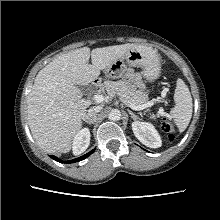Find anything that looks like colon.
Listing matches in <instances>:
<instances>
[{"mask_svg": "<svg viewBox=\"0 0 220 220\" xmlns=\"http://www.w3.org/2000/svg\"><path fill=\"white\" fill-rule=\"evenodd\" d=\"M162 127L164 131L167 133L168 139L170 141L174 140L175 134H174L173 124L168 119L165 118L164 121L162 122Z\"/></svg>", "mask_w": 220, "mask_h": 220, "instance_id": "1", "label": "colon"}]
</instances>
